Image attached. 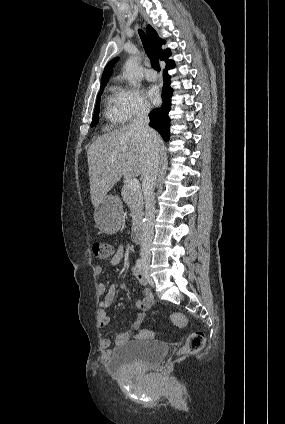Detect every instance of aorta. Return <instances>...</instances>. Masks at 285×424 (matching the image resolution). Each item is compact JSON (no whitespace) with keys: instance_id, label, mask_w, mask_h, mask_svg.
<instances>
[{"instance_id":"762f6f07","label":"aorta","mask_w":285,"mask_h":424,"mask_svg":"<svg viewBox=\"0 0 285 424\" xmlns=\"http://www.w3.org/2000/svg\"><path fill=\"white\" fill-rule=\"evenodd\" d=\"M124 77L130 85L136 86L139 77V62L137 57H130L124 65Z\"/></svg>"}]
</instances>
